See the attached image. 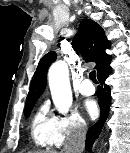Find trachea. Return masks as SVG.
<instances>
[{"mask_svg": "<svg viewBox=\"0 0 130 153\" xmlns=\"http://www.w3.org/2000/svg\"><path fill=\"white\" fill-rule=\"evenodd\" d=\"M89 78L92 80L93 83L98 84V81L96 79L95 71H91L89 74Z\"/></svg>", "mask_w": 130, "mask_h": 153, "instance_id": "obj_1", "label": "trachea"}]
</instances>
